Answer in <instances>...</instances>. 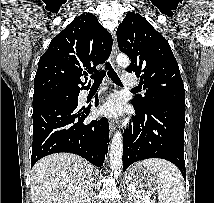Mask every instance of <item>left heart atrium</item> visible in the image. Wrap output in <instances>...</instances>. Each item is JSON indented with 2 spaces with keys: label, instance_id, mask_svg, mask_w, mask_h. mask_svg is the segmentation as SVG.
Listing matches in <instances>:
<instances>
[{
  "label": "left heart atrium",
  "instance_id": "obj_1",
  "mask_svg": "<svg viewBox=\"0 0 214 203\" xmlns=\"http://www.w3.org/2000/svg\"><path fill=\"white\" fill-rule=\"evenodd\" d=\"M100 113L110 118H117L122 113V103L120 99L113 95L101 106Z\"/></svg>",
  "mask_w": 214,
  "mask_h": 203
}]
</instances>
